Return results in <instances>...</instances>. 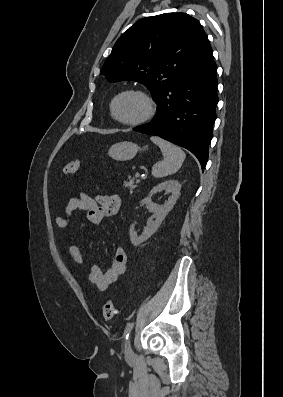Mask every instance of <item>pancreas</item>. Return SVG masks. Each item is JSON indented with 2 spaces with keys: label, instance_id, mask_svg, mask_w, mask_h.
<instances>
[{
  "label": "pancreas",
  "instance_id": "cf45deb5",
  "mask_svg": "<svg viewBox=\"0 0 283 397\" xmlns=\"http://www.w3.org/2000/svg\"><path fill=\"white\" fill-rule=\"evenodd\" d=\"M140 181L136 178H129L127 181H124V186L127 187L130 191H133Z\"/></svg>",
  "mask_w": 283,
  "mask_h": 397
}]
</instances>
